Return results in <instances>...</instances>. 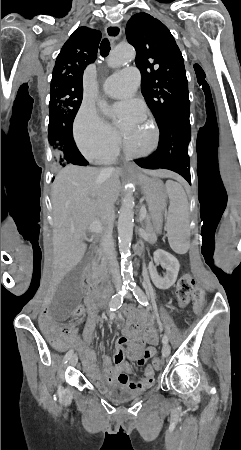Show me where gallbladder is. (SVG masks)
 Segmentation results:
<instances>
[{
  "label": "gallbladder",
  "mask_w": 241,
  "mask_h": 450,
  "mask_svg": "<svg viewBox=\"0 0 241 450\" xmlns=\"http://www.w3.org/2000/svg\"><path fill=\"white\" fill-rule=\"evenodd\" d=\"M90 258H92L91 254H86L74 270H69L68 274L63 276L54 301H48V310H53L52 316L57 323H66L69 315H74V311L80 305L82 270L89 264Z\"/></svg>",
  "instance_id": "1"
}]
</instances>
